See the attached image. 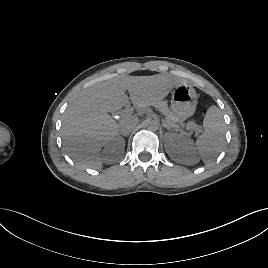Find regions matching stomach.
Listing matches in <instances>:
<instances>
[{
  "label": "stomach",
  "instance_id": "stomach-1",
  "mask_svg": "<svg viewBox=\"0 0 268 268\" xmlns=\"http://www.w3.org/2000/svg\"><path fill=\"white\" fill-rule=\"evenodd\" d=\"M197 106V94L194 88L186 83L180 84L172 91L171 111L181 120L194 115Z\"/></svg>",
  "mask_w": 268,
  "mask_h": 268
}]
</instances>
